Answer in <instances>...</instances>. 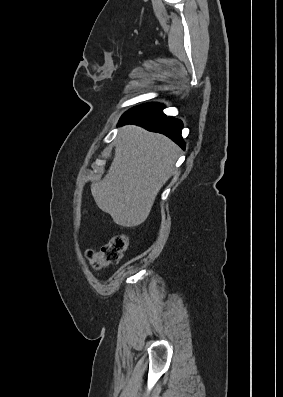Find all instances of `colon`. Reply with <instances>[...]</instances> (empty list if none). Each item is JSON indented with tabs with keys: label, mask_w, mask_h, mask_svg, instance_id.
Here are the masks:
<instances>
[{
	"label": "colon",
	"mask_w": 283,
	"mask_h": 397,
	"mask_svg": "<svg viewBox=\"0 0 283 397\" xmlns=\"http://www.w3.org/2000/svg\"><path fill=\"white\" fill-rule=\"evenodd\" d=\"M128 245L129 241L125 235H116L99 250H89L87 252L88 262L95 270L115 264L123 257Z\"/></svg>",
	"instance_id": "colon-1"
}]
</instances>
